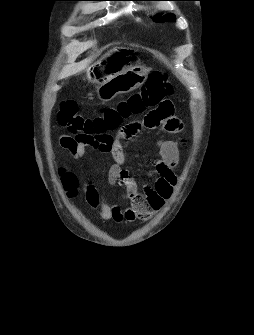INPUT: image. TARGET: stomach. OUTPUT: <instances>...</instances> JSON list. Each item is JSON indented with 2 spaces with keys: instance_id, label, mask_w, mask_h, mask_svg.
I'll return each mask as SVG.
<instances>
[{
  "instance_id": "obj_1",
  "label": "stomach",
  "mask_w": 254,
  "mask_h": 335,
  "mask_svg": "<svg viewBox=\"0 0 254 335\" xmlns=\"http://www.w3.org/2000/svg\"><path fill=\"white\" fill-rule=\"evenodd\" d=\"M129 59L128 52L122 50L92 66L89 79L99 85L97 89L99 100L108 102L117 94L132 91L145 82L148 70L128 66Z\"/></svg>"
}]
</instances>
